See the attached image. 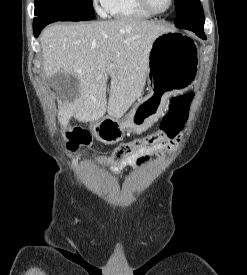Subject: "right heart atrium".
<instances>
[{"mask_svg":"<svg viewBox=\"0 0 247 275\" xmlns=\"http://www.w3.org/2000/svg\"><path fill=\"white\" fill-rule=\"evenodd\" d=\"M92 5L99 15L105 16L108 13L109 0H92Z\"/></svg>","mask_w":247,"mask_h":275,"instance_id":"d8ad5b80","label":"right heart atrium"}]
</instances>
